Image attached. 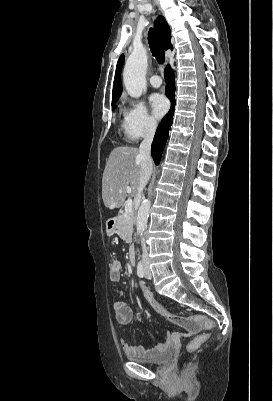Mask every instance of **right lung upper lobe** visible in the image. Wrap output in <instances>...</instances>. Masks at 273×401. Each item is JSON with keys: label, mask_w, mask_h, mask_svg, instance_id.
<instances>
[{"label": "right lung upper lobe", "mask_w": 273, "mask_h": 401, "mask_svg": "<svg viewBox=\"0 0 273 401\" xmlns=\"http://www.w3.org/2000/svg\"><path fill=\"white\" fill-rule=\"evenodd\" d=\"M155 27L160 36L163 47L166 50L172 49L170 28H169L166 20L164 19V17L160 16L157 19V21L155 23ZM123 62H124V55L122 54L119 57V60L117 62V67H116V73H115L114 85H113L112 104H114L115 101L118 100V98L120 97L121 92H122L120 73H121V69L123 66Z\"/></svg>", "instance_id": "1"}]
</instances>
